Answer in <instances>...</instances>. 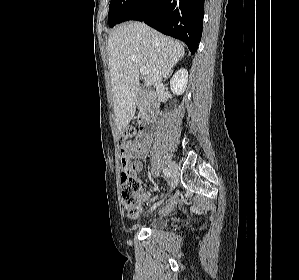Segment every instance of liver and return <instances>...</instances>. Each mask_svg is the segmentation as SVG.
I'll list each match as a JSON object with an SVG mask.
<instances>
[{"mask_svg": "<svg viewBox=\"0 0 299 280\" xmlns=\"http://www.w3.org/2000/svg\"><path fill=\"white\" fill-rule=\"evenodd\" d=\"M114 114L118 130L133 119L140 90L139 70L149 74L145 84H157L184 57L181 43L141 22H127L115 29L107 42Z\"/></svg>", "mask_w": 299, "mask_h": 280, "instance_id": "6515ba94", "label": "liver"}]
</instances>
